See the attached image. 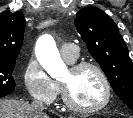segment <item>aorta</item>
Wrapping results in <instances>:
<instances>
[{
  "mask_svg": "<svg viewBox=\"0 0 133 118\" xmlns=\"http://www.w3.org/2000/svg\"><path fill=\"white\" fill-rule=\"evenodd\" d=\"M40 47L36 56L42 67L52 78H57L66 72V65L63 63L54 39L45 35L39 40Z\"/></svg>",
  "mask_w": 133,
  "mask_h": 118,
  "instance_id": "obj_1",
  "label": "aorta"
}]
</instances>
